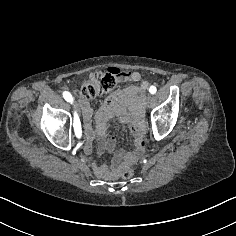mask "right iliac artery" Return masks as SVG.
<instances>
[{
    "label": "right iliac artery",
    "instance_id": "right-iliac-artery-1",
    "mask_svg": "<svg viewBox=\"0 0 236 236\" xmlns=\"http://www.w3.org/2000/svg\"><path fill=\"white\" fill-rule=\"evenodd\" d=\"M63 97L67 102H70L72 104L73 98H72V95L68 91L63 92ZM73 127H74L76 137L81 138V135H82L81 123L76 112L74 113Z\"/></svg>",
    "mask_w": 236,
    "mask_h": 236
}]
</instances>
